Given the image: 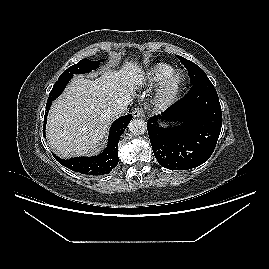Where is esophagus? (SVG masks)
<instances>
[{"mask_svg": "<svg viewBox=\"0 0 269 269\" xmlns=\"http://www.w3.org/2000/svg\"><path fill=\"white\" fill-rule=\"evenodd\" d=\"M132 115L134 118H145V114L142 108H135V110L132 112Z\"/></svg>", "mask_w": 269, "mask_h": 269, "instance_id": "obj_1", "label": "esophagus"}]
</instances>
